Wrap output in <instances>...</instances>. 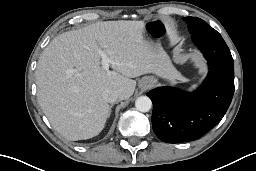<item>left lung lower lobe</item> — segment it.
Returning a JSON list of instances; mask_svg holds the SVG:
<instances>
[{"instance_id": "1", "label": "left lung lower lobe", "mask_w": 256, "mask_h": 171, "mask_svg": "<svg viewBox=\"0 0 256 171\" xmlns=\"http://www.w3.org/2000/svg\"><path fill=\"white\" fill-rule=\"evenodd\" d=\"M209 64L203 85L193 93L158 87L147 93L153 102L152 127L167 143L196 140L216 126L234 94V63L221 35L192 34Z\"/></svg>"}]
</instances>
